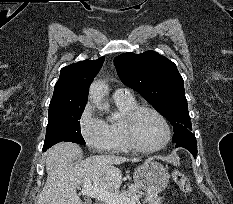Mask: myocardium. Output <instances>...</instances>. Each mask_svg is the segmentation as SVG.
I'll return each instance as SVG.
<instances>
[{
  "instance_id": "f54148a6",
  "label": "myocardium",
  "mask_w": 233,
  "mask_h": 204,
  "mask_svg": "<svg viewBox=\"0 0 233 204\" xmlns=\"http://www.w3.org/2000/svg\"><path fill=\"white\" fill-rule=\"evenodd\" d=\"M148 111L153 113L155 116L158 117V119L162 122L164 129H165V139L164 141L153 148H146L141 146L135 136L134 132V124L137 116L144 112ZM121 127H122V133L124 136V140L129 147V149L140 152V153H154L158 152L162 149H164L171 140V129L170 125L166 119V117L156 108L148 106V105H137L134 108H132L130 111H128L121 120Z\"/></svg>"
}]
</instances>
